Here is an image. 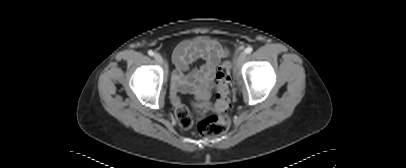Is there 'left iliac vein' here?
<instances>
[{
	"instance_id": "1",
	"label": "left iliac vein",
	"mask_w": 406,
	"mask_h": 168,
	"mask_svg": "<svg viewBox=\"0 0 406 168\" xmlns=\"http://www.w3.org/2000/svg\"><path fill=\"white\" fill-rule=\"evenodd\" d=\"M246 57V53L245 52H241L235 59V65H236V69L239 70L241 64L243 63L244 59Z\"/></svg>"
}]
</instances>
